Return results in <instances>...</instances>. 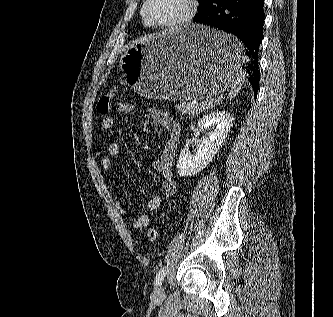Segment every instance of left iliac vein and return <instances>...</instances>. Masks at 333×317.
Masks as SVG:
<instances>
[{
    "instance_id": "obj_1",
    "label": "left iliac vein",
    "mask_w": 333,
    "mask_h": 317,
    "mask_svg": "<svg viewBox=\"0 0 333 317\" xmlns=\"http://www.w3.org/2000/svg\"><path fill=\"white\" fill-rule=\"evenodd\" d=\"M153 296L156 299H162L165 296V289L162 284H157L154 288Z\"/></svg>"
}]
</instances>
